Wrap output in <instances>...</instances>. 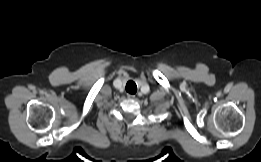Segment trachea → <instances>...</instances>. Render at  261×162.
I'll return each mask as SVG.
<instances>
[{"label": "trachea", "mask_w": 261, "mask_h": 162, "mask_svg": "<svg viewBox=\"0 0 261 162\" xmlns=\"http://www.w3.org/2000/svg\"><path fill=\"white\" fill-rule=\"evenodd\" d=\"M126 91L130 94H135L137 91V86H136L135 82L128 81L126 84Z\"/></svg>", "instance_id": "3493384b"}]
</instances>
